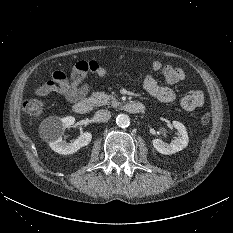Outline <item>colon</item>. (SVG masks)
Returning <instances> with one entry per match:
<instances>
[{"label": "colon", "instance_id": "colon-1", "mask_svg": "<svg viewBox=\"0 0 233 233\" xmlns=\"http://www.w3.org/2000/svg\"><path fill=\"white\" fill-rule=\"evenodd\" d=\"M44 103L40 99L32 98L28 99L23 104L24 111L30 116H37L43 112ZM211 116L208 113H205L201 116L200 121L203 125H206L210 122Z\"/></svg>", "mask_w": 233, "mask_h": 233}]
</instances>
